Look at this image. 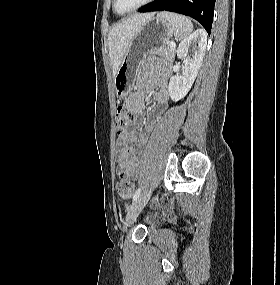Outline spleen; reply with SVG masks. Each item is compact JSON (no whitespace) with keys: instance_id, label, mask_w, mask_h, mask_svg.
Returning <instances> with one entry per match:
<instances>
[{"instance_id":"3e777b00","label":"spleen","mask_w":280,"mask_h":285,"mask_svg":"<svg viewBox=\"0 0 280 285\" xmlns=\"http://www.w3.org/2000/svg\"><path fill=\"white\" fill-rule=\"evenodd\" d=\"M159 15L172 24L176 40L184 39L193 30L191 20L183 15L170 12H162Z\"/></svg>"}]
</instances>
